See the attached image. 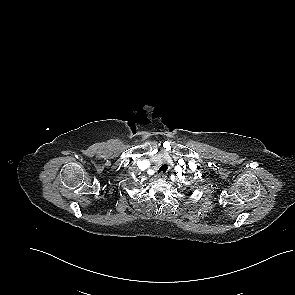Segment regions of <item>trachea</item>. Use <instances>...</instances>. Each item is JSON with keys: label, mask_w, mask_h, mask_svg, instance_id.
I'll use <instances>...</instances> for the list:
<instances>
[{"label": "trachea", "mask_w": 295, "mask_h": 295, "mask_svg": "<svg viewBox=\"0 0 295 295\" xmlns=\"http://www.w3.org/2000/svg\"><path fill=\"white\" fill-rule=\"evenodd\" d=\"M166 170H167V165H166V164H163V165L160 167V169H159L158 173H160V172H163V173H165V172H166Z\"/></svg>", "instance_id": "trachea-1"}]
</instances>
